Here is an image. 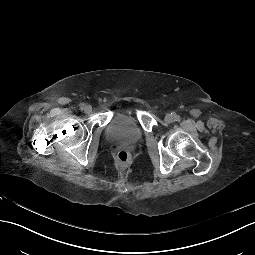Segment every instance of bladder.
Returning a JSON list of instances; mask_svg holds the SVG:
<instances>
[{"instance_id": "1", "label": "bladder", "mask_w": 255, "mask_h": 255, "mask_svg": "<svg viewBox=\"0 0 255 255\" xmlns=\"http://www.w3.org/2000/svg\"><path fill=\"white\" fill-rule=\"evenodd\" d=\"M106 136L111 140L121 138L138 141L142 133L139 125L126 114L111 119L106 127Z\"/></svg>"}]
</instances>
